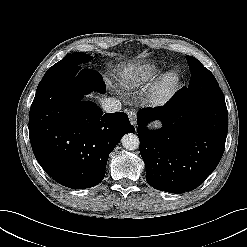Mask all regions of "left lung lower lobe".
<instances>
[{
  "label": "left lung lower lobe",
  "instance_id": "obj_1",
  "mask_svg": "<svg viewBox=\"0 0 247 247\" xmlns=\"http://www.w3.org/2000/svg\"><path fill=\"white\" fill-rule=\"evenodd\" d=\"M153 120H160L163 127L147 129ZM137 124L148 184L178 194L197 188L217 167L228 112L218 82L206 69L164 106L139 110Z\"/></svg>",
  "mask_w": 247,
  "mask_h": 247
}]
</instances>
